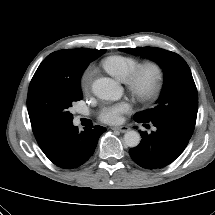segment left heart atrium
I'll use <instances>...</instances> for the list:
<instances>
[{"label":"left heart atrium","mask_w":215,"mask_h":215,"mask_svg":"<svg viewBox=\"0 0 215 215\" xmlns=\"http://www.w3.org/2000/svg\"><path fill=\"white\" fill-rule=\"evenodd\" d=\"M130 110V104L126 101L104 106L99 113L101 121L109 124H116L120 122L122 114Z\"/></svg>","instance_id":"1"}]
</instances>
